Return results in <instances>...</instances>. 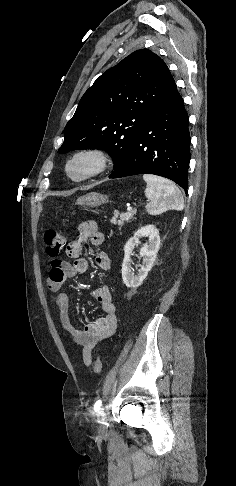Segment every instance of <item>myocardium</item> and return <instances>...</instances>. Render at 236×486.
Listing matches in <instances>:
<instances>
[{
    "label": "myocardium",
    "instance_id": "obj_1",
    "mask_svg": "<svg viewBox=\"0 0 236 486\" xmlns=\"http://www.w3.org/2000/svg\"><path fill=\"white\" fill-rule=\"evenodd\" d=\"M87 158L93 162L92 168L81 176H74L71 173V166L78 159ZM111 155L109 152L100 147H87L75 151L65 163V175L69 180L75 183H81L94 179L104 174L111 165Z\"/></svg>",
    "mask_w": 236,
    "mask_h": 486
}]
</instances>
